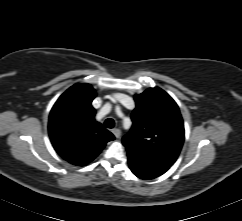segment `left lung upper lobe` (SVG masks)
<instances>
[{
    "instance_id": "1",
    "label": "left lung upper lobe",
    "mask_w": 242,
    "mask_h": 221,
    "mask_svg": "<svg viewBox=\"0 0 242 221\" xmlns=\"http://www.w3.org/2000/svg\"><path fill=\"white\" fill-rule=\"evenodd\" d=\"M134 99L133 125L122 138L127 152L172 166L184 142V125L176 102L158 87Z\"/></svg>"
}]
</instances>
